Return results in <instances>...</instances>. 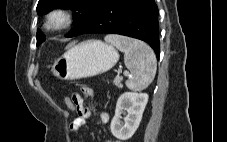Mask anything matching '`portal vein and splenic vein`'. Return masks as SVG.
Listing matches in <instances>:
<instances>
[{"label":"portal vein and splenic vein","mask_w":227,"mask_h":142,"mask_svg":"<svg viewBox=\"0 0 227 142\" xmlns=\"http://www.w3.org/2000/svg\"><path fill=\"white\" fill-rule=\"evenodd\" d=\"M120 72H121V70L118 71V73H120ZM124 74L128 75L129 73H128V71H125Z\"/></svg>","instance_id":"18ae733b"}]
</instances>
